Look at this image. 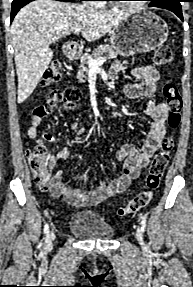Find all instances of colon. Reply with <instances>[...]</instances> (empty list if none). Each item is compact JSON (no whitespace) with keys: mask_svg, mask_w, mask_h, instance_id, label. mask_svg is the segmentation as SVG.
I'll return each mask as SVG.
<instances>
[{"mask_svg":"<svg viewBox=\"0 0 193 287\" xmlns=\"http://www.w3.org/2000/svg\"><path fill=\"white\" fill-rule=\"evenodd\" d=\"M172 58L173 55L170 47L162 45L156 50L154 61L157 66L165 67L170 65ZM61 77V61L54 59L44 74L43 82L45 84L55 83L58 82ZM163 95L168 108V125L172 130H176L181 123L182 98L180 92L175 84L166 83L163 87ZM80 99L81 92L77 88H68L63 92H51L47 95V104L39 105L34 109L33 119L43 120L54 106L59 104L63 108L73 107ZM174 147V137L167 136L150 164L146 176V188L133 197L126 205L119 208L118 214L120 216L135 213L150 203L159 188ZM28 157L35 184L40 189L47 190L51 164L44 145L42 143L35 144L28 151Z\"/></svg>","mask_w":193,"mask_h":287,"instance_id":"1","label":"colon"}]
</instances>
